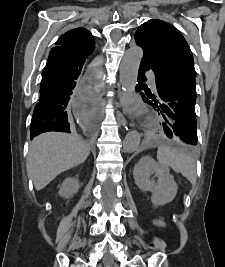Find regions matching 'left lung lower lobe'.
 Masks as SVG:
<instances>
[{
  "label": "left lung lower lobe",
  "instance_id": "1",
  "mask_svg": "<svg viewBox=\"0 0 225 267\" xmlns=\"http://www.w3.org/2000/svg\"><path fill=\"white\" fill-rule=\"evenodd\" d=\"M147 70H152L156 76L157 90L154 94L145 85L141 86L147 80ZM136 91L145 102L160 111L165 134L170 139L178 138L186 147L194 148L197 144L194 75L186 71L158 73L142 59Z\"/></svg>",
  "mask_w": 225,
  "mask_h": 267
}]
</instances>
